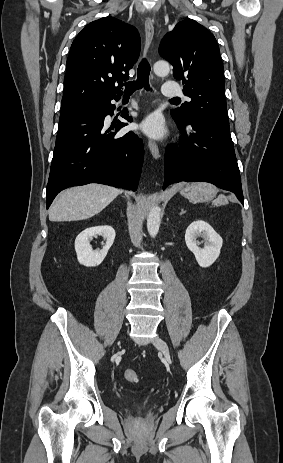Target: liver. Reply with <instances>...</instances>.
Masks as SVG:
<instances>
[{
    "label": "liver",
    "mask_w": 283,
    "mask_h": 463,
    "mask_svg": "<svg viewBox=\"0 0 283 463\" xmlns=\"http://www.w3.org/2000/svg\"><path fill=\"white\" fill-rule=\"evenodd\" d=\"M119 193L118 189L101 184L68 188L52 204L49 220L62 222L91 218L108 206Z\"/></svg>",
    "instance_id": "1"
}]
</instances>
